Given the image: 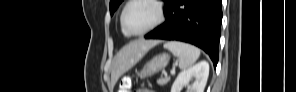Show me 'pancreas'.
Wrapping results in <instances>:
<instances>
[{
    "instance_id": "pancreas-1",
    "label": "pancreas",
    "mask_w": 296,
    "mask_h": 92,
    "mask_svg": "<svg viewBox=\"0 0 296 92\" xmlns=\"http://www.w3.org/2000/svg\"><path fill=\"white\" fill-rule=\"evenodd\" d=\"M170 81V77H164L157 80V84L166 85Z\"/></svg>"
}]
</instances>
